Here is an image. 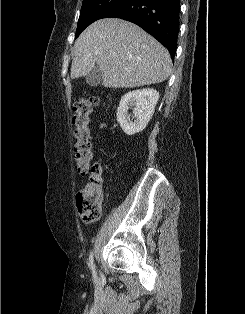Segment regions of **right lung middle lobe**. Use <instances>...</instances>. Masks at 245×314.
Instances as JSON below:
<instances>
[{
    "label": "right lung middle lobe",
    "mask_w": 245,
    "mask_h": 314,
    "mask_svg": "<svg viewBox=\"0 0 245 314\" xmlns=\"http://www.w3.org/2000/svg\"><path fill=\"white\" fill-rule=\"evenodd\" d=\"M127 0H83L76 37L93 22L125 3Z\"/></svg>",
    "instance_id": "right-lung-middle-lobe-1"
}]
</instances>
